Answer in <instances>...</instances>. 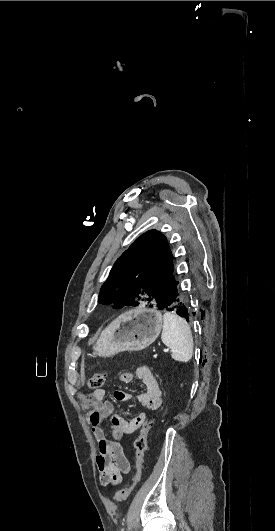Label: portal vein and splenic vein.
<instances>
[{"label":"portal vein and splenic vein","mask_w":275,"mask_h":531,"mask_svg":"<svg viewBox=\"0 0 275 531\" xmlns=\"http://www.w3.org/2000/svg\"><path fill=\"white\" fill-rule=\"evenodd\" d=\"M164 353H169V348H163Z\"/></svg>","instance_id":"portal-vein-and-splenic-vein-1"}]
</instances>
